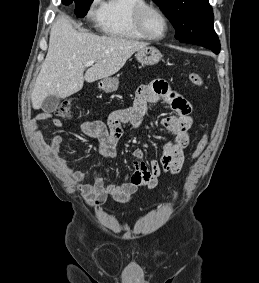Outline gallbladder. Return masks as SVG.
Masks as SVG:
<instances>
[{"label": "gallbladder", "instance_id": "bac80fb5", "mask_svg": "<svg viewBox=\"0 0 259 283\" xmlns=\"http://www.w3.org/2000/svg\"><path fill=\"white\" fill-rule=\"evenodd\" d=\"M60 103V99L56 96H48L42 103L41 109L44 112H54Z\"/></svg>", "mask_w": 259, "mask_h": 283}]
</instances>
